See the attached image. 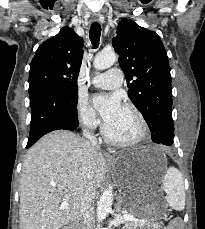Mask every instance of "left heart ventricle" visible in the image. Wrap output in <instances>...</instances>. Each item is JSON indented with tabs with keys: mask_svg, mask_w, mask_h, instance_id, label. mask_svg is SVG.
I'll return each mask as SVG.
<instances>
[{
	"mask_svg": "<svg viewBox=\"0 0 205 229\" xmlns=\"http://www.w3.org/2000/svg\"><path fill=\"white\" fill-rule=\"evenodd\" d=\"M107 132L117 139H128L134 137L139 130L135 115L124 106L119 113L108 123Z\"/></svg>",
	"mask_w": 205,
	"mask_h": 229,
	"instance_id": "left-heart-ventricle-1",
	"label": "left heart ventricle"
}]
</instances>
